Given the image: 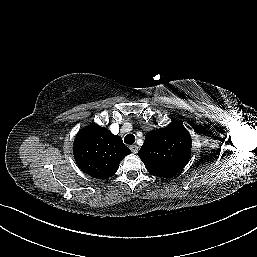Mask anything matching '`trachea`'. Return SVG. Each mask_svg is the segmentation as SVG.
Returning a JSON list of instances; mask_svg holds the SVG:
<instances>
[{
  "label": "trachea",
  "mask_w": 257,
  "mask_h": 257,
  "mask_svg": "<svg viewBox=\"0 0 257 257\" xmlns=\"http://www.w3.org/2000/svg\"><path fill=\"white\" fill-rule=\"evenodd\" d=\"M126 144H133L135 142V136L133 134H128L124 138Z\"/></svg>",
  "instance_id": "1"
}]
</instances>
